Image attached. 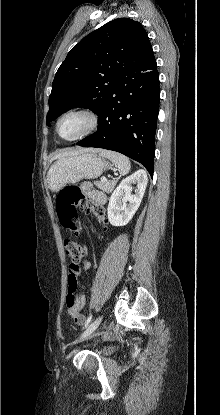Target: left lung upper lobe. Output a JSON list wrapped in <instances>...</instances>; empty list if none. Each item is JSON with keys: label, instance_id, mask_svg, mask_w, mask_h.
<instances>
[{"label": "left lung upper lobe", "instance_id": "left-lung-upper-lobe-1", "mask_svg": "<svg viewBox=\"0 0 220 415\" xmlns=\"http://www.w3.org/2000/svg\"><path fill=\"white\" fill-rule=\"evenodd\" d=\"M154 56L143 26L118 18L84 37L55 74L47 125L72 108L99 113L113 85L124 73L144 66Z\"/></svg>", "mask_w": 220, "mask_h": 415}]
</instances>
